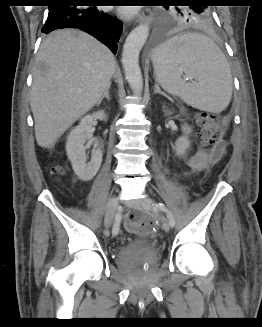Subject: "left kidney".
I'll return each mask as SVG.
<instances>
[{
	"mask_svg": "<svg viewBox=\"0 0 262 327\" xmlns=\"http://www.w3.org/2000/svg\"><path fill=\"white\" fill-rule=\"evenodd\" d=\"M183 135L179 137L175 142V153L177 156H183L188 148H190L189 135L192 129L187 124L182 126Z\"/></svg>",
	"mask_w": 262,
	"mask_h": 327,
	"instance_id": "1",
	"label": "left kidney"
}]
</instances>
